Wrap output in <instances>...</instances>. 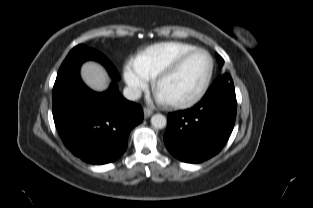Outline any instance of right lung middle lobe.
Wrapping results in <instances>:
<instances>
[{
  "label": "right lung middle lobe",
  "mask_w": 313,
  "mask_h": 208,
  "mask_svg": "<svg viewBox=\"0 0 313 208\" xmlns=\"http://www.w3.org/2000/svg\"><path fill=\"white\" fill-rule=\"evenodd\" d=\"M83 46H84V45H78V46H76L75 48H73V49L70 51V53H75V52H77V51L83 49Z\"/></svg>",
  "instance_id": "dd1d6c3e"
}]
</instances>
